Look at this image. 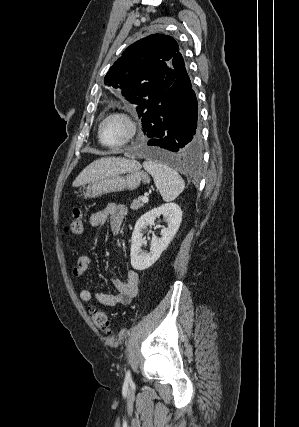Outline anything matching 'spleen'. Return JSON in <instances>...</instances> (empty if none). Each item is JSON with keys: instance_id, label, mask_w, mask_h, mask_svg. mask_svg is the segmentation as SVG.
<instances>
[{"instance_id": "3e777b00", "label": "spleen", "mask_w": 299, "mask_h": 427, "mask_svg": "<svg viewBox=\"0 0 299 427\" xmlns=\"http://www.w3.org/2000/svg\"><path fill=\"white\" fill-rule=\"evenodd\" d=\"M143 167L153 177L155 186L164 201L170 202L183 192L185 183L172 168L153 160L145 161Z\"/></svg>"}]
</instances>
